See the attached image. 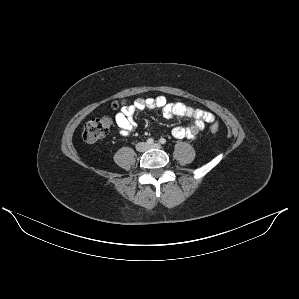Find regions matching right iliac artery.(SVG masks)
Segmentation results:
<instances>
[{"mask_svg":"<svg viewBox=\"0 0 299 299\" xmlns=\"http://www.w3.org/2000/svg\"><path fill=\"white\" fill-rule=\"evenodd\" d=\"M153 143H154V139L153 138L147 139V144L151 145Z\"/></svg>","mask_w":299,"mask_h":299,"instance_id":"right-iliac-artery-1","label":"right iliac artery"}]
</instances>
